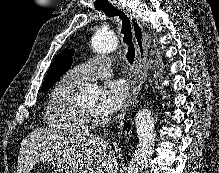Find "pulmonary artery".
I'll return each instance as SVG.
<instances>
[{"label": "pulmonary artery", "mask_w": 219, "mask_h": 173, "mask_svg": "<svg viewBox=\"0 0 219 173\" xmlns=\"http://www.w3.org/2000/svg\"><path fill=\"white\" fill-rule=\"evenodd\" d=\"M111 60L103 56H93L69 70L66 77L79 85L88 80L108 76L111 73Z\"/></svg>", "instance_id": "pulmonary-artery-1"}]
</instances>
